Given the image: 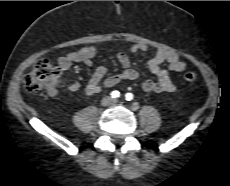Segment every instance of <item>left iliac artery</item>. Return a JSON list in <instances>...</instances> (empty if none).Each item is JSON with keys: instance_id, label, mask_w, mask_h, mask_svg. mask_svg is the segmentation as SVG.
<instances>
[{"instance_id": "1", "label": "left iliac artery", "mask_w": 230, "mask_h": 186, "mask_svg": "<svg viewBox=\"0 0 230 186\" xmlns=\"http://www.w3.org/2000/svg\"><path fill=\"white\" fill-rule=\"evenodd\" d=\"M125 99H126L127 101H131V100L133 99V94H132V93H126Z\"/></svg>"}]
</instances>
